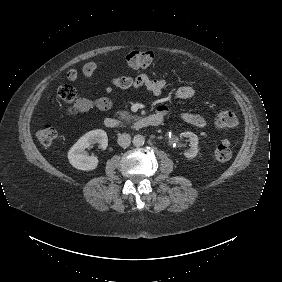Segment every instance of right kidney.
<instances>
[{"label":"right kidney","instance_id":"1","mask_svg":"<svg viewBox=\"0 0 282 282\" xmlns=\"http://www.w3.org/2000/svg\"><path fill=\"white\" fill-rule=\"evenodd\" d=\"M99 143L105 150L108 146V137L104 130L96 129L84 134L68 151L70 164L79 170H93L98 165V159L95 156H89L85 151L92 144Z\"/></svg>","mask_w":282,"mask_h":282}]
</instances>
